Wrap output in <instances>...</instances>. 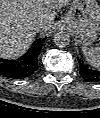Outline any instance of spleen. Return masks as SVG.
I'll use <instances>...</instances> for the list:
<instances>
[{
    "label": "spleen",
    "instance_id": "3e777b00",
    "mask_svg": "<svg viewBox=\"0 0 100 118\" xmlns=\"http://www.w3.org/2000/svg\"><path fill=\"white\" fill-rule=\"evenodd\" d=\"M82 52L86 61L94 68L98 69L100 67V48L99 47H87L82 46Z\"/></svg>",
    "mask_w": 100,
    "mask_h": 118
}]
</instances>
